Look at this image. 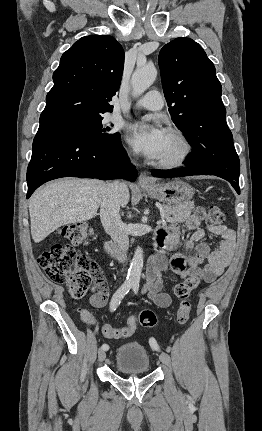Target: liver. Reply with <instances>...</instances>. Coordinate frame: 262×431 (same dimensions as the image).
<instances>
[{
	"mask_svg": "<svg viewBox=\"0 0 262 431\" xmlns=\"http://www.w3.org/2000/svg\"><path fill=\"white\" fill-rule=\"evenodd\" d=\"M107 184L96 179L66 178L37 190L29 200L31 235L34 242L43 241L61 226L95 217ZM129 198L126 186L120 195L122 207L128 204Z\"/></svg>",
	"mask_w": 262,
	"mask_h": 431,
	"instance_id": "6515ba94",
	"label": "liver"
}]
</instances>
